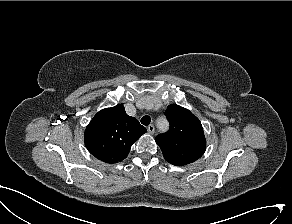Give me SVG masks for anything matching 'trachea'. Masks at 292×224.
<instances>
[{
    "label": "trachea",
    "mask_w": 292,
    "mask_h": 224,
    "mask_svg": "<svg viewBox=\"0 0 292 224\" xmlns=\"http://www.w3.org/2000/svg\"><path fill=\"white\" fill-rule=\"evenodd\" d=\"M150 122H151V118L149 117V116H143L142 118H141V123L143 124V125H149L150 124Z\"/></svg>",
    "instance_id": "1"
}]
</instances>
